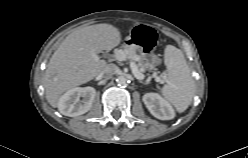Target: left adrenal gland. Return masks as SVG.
<instances>
[{"mask_svg":"<svg viewBox=\"0 0 248 158\" xmlns=\"http://www.w3.org/2000/svg\"><path fill=\"white\" fill-rule=\"evenodd\" d=\"M139 82L144 84V82H142V81H139Z\"/></svg>","mask_w":248,"mask_h":158,"instance_id":"obj_1","label":"left adrenal gland"}]
</instances>
